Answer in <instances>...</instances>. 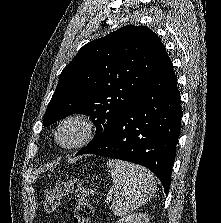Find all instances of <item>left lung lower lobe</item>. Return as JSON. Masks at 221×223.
<instances>
[{
    "mask_svg": "<svg viewBox=\"0 0 221 223\" xmlns=\"http://www.w3.org/2000/svg\"><path fill=\"white\" fill-rule=\"evenodd\" d=\"M180 93L169 57L150 85L131 103L110 133L81 154L137 163L161 181L166 195L180 134Z\"/></svg>",
    "mask_w": 221,
    "mask_h": 223,
    "instance_id": "1",
    "label": "left lung lower lobe"
}]
</instances>
